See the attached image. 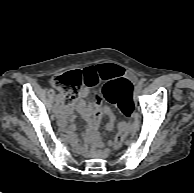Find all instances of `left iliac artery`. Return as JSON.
<instances>
[{"instance_id":"1","label":"left iliac artery","mask_w":194,"mask_h":193,"mask_svg":"<svg viewBox=\"0 0 194 193\" xmlns=\"http://www.w3.org/2000/svg\"><path fill=\"white\" fill-rule=\"evenodd\" d=\"M144 81H145V79L142 78V79L140 80L139 84L143 86Z\"/></svg>"}]
</instances>
